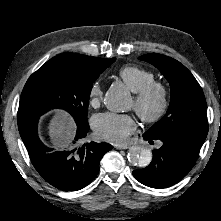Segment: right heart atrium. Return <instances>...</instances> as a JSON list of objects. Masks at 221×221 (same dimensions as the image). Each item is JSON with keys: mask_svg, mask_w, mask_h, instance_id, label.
Masks as SVG:
<instances>
[{"mask_svg": "<svg viewBox=\"0 0 221 221\" xmlns=\"http://www.w3.org/2000/svg\"><path fill=\"white\" fill-rule=\"evenodd\" d=\"M102 97H103V90L101 88V85L98 81H95L91 85L90 90H89L90 104L94 107L97 106L101 102Z\"/></svg>", "mask_w": 221, "mask_h": 221, "instance_id": "1", "label": "right heart atrium"}]
</instances>
